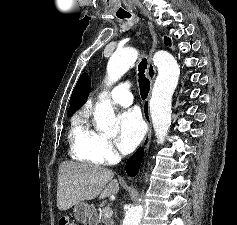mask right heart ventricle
I'll return each mask as SVG.
<instances>
[{"mask_svg":"<svg viewBox=\"0 0 237 225\" xmlns=\"http://www.w3.org/2000/svg\"><path fill=\"white\" fill-rule=\"evenodd\" d=\"M97 135L98 133L90 127L85 112L76 115L69 135L71 156L78 161L100 164L93 149Z\"/></svg>","mask_w":237,"mask_h":225,"instance_id":"obj_1","label":"right heart ventricle"}]
</instances>
